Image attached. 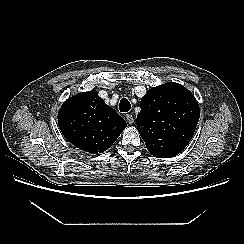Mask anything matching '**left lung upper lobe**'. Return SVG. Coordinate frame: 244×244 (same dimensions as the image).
I'll use <instances>...</instances> for the list:
<instances>
[{
  "label": "left lung upper lobe",
  "mask_w": 244,
  "mask_h": 244,
  "mask_svg": "<svg viewBox=\"0 0 244 244\" xmlns=\"http://www.w3.org/2000/svg\"><path fill=\"white\" fill-rule=\"evenodd\" d=\"M140 104L137 130L149 152L157 158H171L182 152L200 116L193 94L178 83H167L149 89Z\"/></svg>",
  "instance_id": "1"
}]
</instances>
